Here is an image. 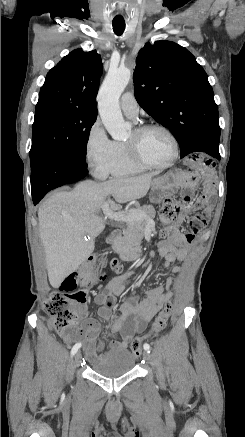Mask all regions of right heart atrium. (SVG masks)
Listing matches in <instances>:
<instances>
[{"instance_id": "1", "label": "right heart atrium", "mask_w": 245, "mask_h": 437, "mask_svg": "<svg viewBox=\"0 0 245 437\" xmlns=\"http://www.w3.org/2000/svg\"><path fill=\"white\" fill-rule=\"evenodd\" d=\"M115 154V142L111 140L99 120L88 131L85 141V160L93 173L100 178L109 174Z\"/></svg>"}]
</instances>
